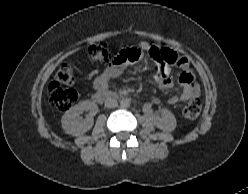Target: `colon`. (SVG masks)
<instances>
[{
	"label": "colon",
	"instance_id": "1",
	"mask_svg": "<svg viewBox=\"0 0 248 194\" xmlns=\"http://www.w3.org/2000/svg\"><path fill=\"white\" fill-rule=\"evenodd\" d=\"M89 58L97 63L106 65L111 63L112 57L105 42L92 45L88 50ZM150 56L158 64L173 63L175 61L174 52L167 48L154 47L150 50ZM139 51L128 52L127 59L137 60ZM74 64L71 61L62 63L54 79L50 82L47 92L49 104L58 110H67L78 101V92L74 88L65 87L73 82ZM201 101L198 98L189 100L183 108V116L188 121L195 120L201 112Z\"/></svg>",
	"mask_w": 248,
	"mask_h": 194
}]
</instances>
